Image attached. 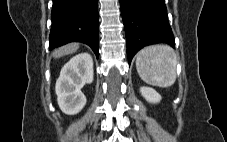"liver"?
Masks as SVG:
<instances>
[{"label": "liver", "mask_w": 227, "mask_h": 142, "mask_svg": "<svg viewBox=\"0 0 227 142\" xmlns=\"http://www.w3.org/2000/svg\"><path fill=\"white\" fill-rule=\"evenodd\" d=\"M79 49V44L78 43H71L68 45H65L53 52V57L54 58H60L62 56H66L69 54L74 53Z\"/></svg>", "instance_id": "liver-1"}]
</instances>
